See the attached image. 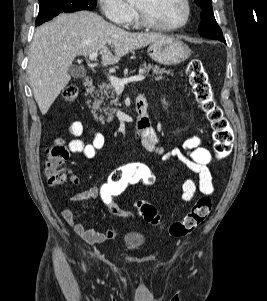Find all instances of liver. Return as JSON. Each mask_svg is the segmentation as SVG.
Instances as JSON below:
<instances>
[{
  "label": "liver",
  "mask_w": 267,
  "mask_h": 301,
  "mask_svg": "<svg viewBox=\"0 0 267 301\" xmlns=\"http://www.w3.org/2000/svg\"><path fill=\"white\" fill-rule=\"evenodd\" d=\"M165 36L131 33L105 21L96 13L61 14L38 27L29 51L28 74L36 103L45 115L71 80L68 72L75 57L101 54L105 65L116 64L129 52ZM114 47V54L108 46Z\"/></svg>",
  "instance_id": "1"
}]
</instances>
